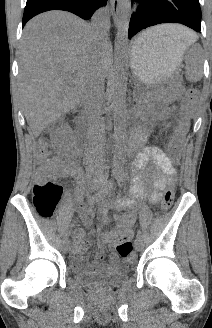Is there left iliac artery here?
<instances>
[{"mask_svg":"<svg viewBox=\"0 0 212 328\" xmlns=\"http://www.w3.org/2000/svg\"><path fill=\"white\" fill-rule=\"evenodd\" d=\"M117 181H118L119 185L121 186V184H120L121 179H119V180H117ZM142 237H143L142 232L139 230V231L137 232V238H138V239H142Z\"/></svg>","mask_w":212,"mask_h":328,"instance_id":"1","label":"left iliac artery"}]
</instances>
